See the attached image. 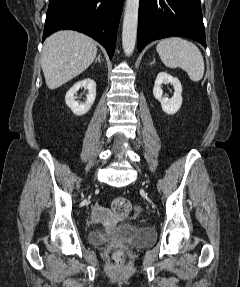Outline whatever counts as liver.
I'll use <instances>...</instances> for the list:
<instances>
[{
	"mask_svg": "<svg viewBox=\"0 0 240 287\" xmlns=\"http://www.w3.org/2000/svg\"><path fill=\"white\" fill-rule=\"evenodd\" d=\"M97 54L95 41L76 31H59L43 46L41 67L46 85L54 90L85 71Z\"/></svg>",
	"mask_w": 240,
	"mask_h": 287,
	"instance_id": "1",
	"label": "liver"
}]
</instances>
